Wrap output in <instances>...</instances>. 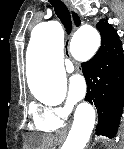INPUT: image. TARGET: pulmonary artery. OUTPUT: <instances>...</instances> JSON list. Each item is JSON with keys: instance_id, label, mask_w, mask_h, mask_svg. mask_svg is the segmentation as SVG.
I'll list each match as a JSON object with an SVG mask.
<instances>
[{"instance_id": "1", "label": "pulmonary artery", "mask_w": 124, "mask_h": 149, "mask_svg": "<svg viewBox=\"0 0 124 149\" xmlns=\"http://www.w3.org/2000/svg\"><path fill=\"white\" fill-rule=\"evenodd\" d=\"M65 67L67 72H73L74 71V66L70 60L65 61Z\"/></svg>"}]
</instances>
